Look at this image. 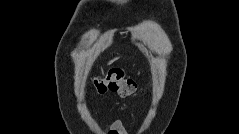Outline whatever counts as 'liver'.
<instances>
[{"instance_id":"6515ba94","label":"liver","mask_w":239,"mask_h":134,"mask_svg":"<svg viewBox=\"0 0 239 134\" xmlns=\"http://www.w3.org/2000/svg\"><path fill=\"white\" fill-rule=\"evenodd\" d=\"M117 58H115L114 60H116ZM114 60L110 61V63H112Z\"/></svg>"}]
</instances>
